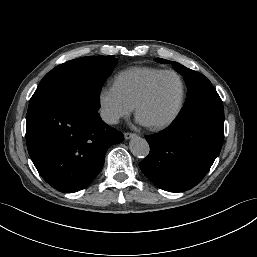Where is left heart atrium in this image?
<instances>
[{"mask_svg":"<svg viewBox=\"0 0 257 257\" xmlns=\"http://www.w3.org/2000/svg\"><path fill=\"white\" fill-rule=\"evenodd\" d=\"M137 122L141 125H149V123L139 114L137 115Z\"/></svg>","mask_w":257,"mask_h":257,"instance_id":"obj_1","label":"left heart atrium"}]
</instances>
